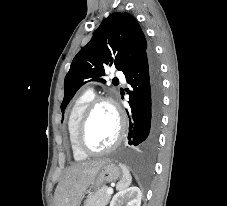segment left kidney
<instances>
[{"label": "left kidney", "mask_w": 227, "mask_h": 206, "mask_svg": "<svg viewBox=\"0 0 227 206\" xmlns=\"http://www.w3.org/2000/svg\"><path fill=\"white\" fill-rule=\"evenodd\" d=\"M142 193L138 187H129L116 193L112 198L110 206H121L127 201L126 206H140Z\"/></svg>", "instance_id": "5707ae66"}]
</instances>
